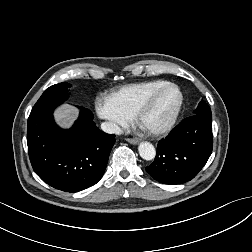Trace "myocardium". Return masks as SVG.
Segmentation results:
<instances>
[{"instance_id": "1", "label": "myocardium", "mask_w": 252, "mask_h": 252, "mask_svg": "<svg viewBox=\"0 0 252 252\" xmlns=\"http://www.w3.org/2000/svg\"><path fill=\"white\" fill-rule=\"evenodd\" d=\"M168 88H175L178 90V92L180 94L179 103H178L177 108L175 109L172 117L165 125H163L160 128L150 129V128L144 127V125H143L144 115L153 106V104H154L156 98L159 96V94ZM184 103H185V96H184V92L182 91L181 87L175 83L168 82V83L156 88L155 90H153L147 96V98L140 104V106L138 107V109L135 113L136 121L148 134H150L152 136L165 135V134L169 133L174 128V126H175V124H176V122H177V120L183 110Z\"/></svg>"}]
</instances>
